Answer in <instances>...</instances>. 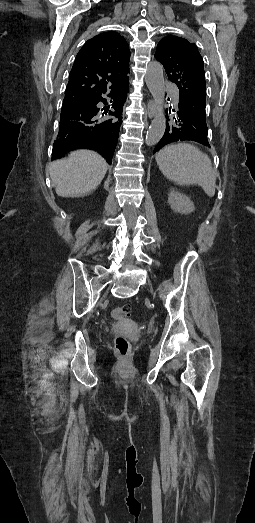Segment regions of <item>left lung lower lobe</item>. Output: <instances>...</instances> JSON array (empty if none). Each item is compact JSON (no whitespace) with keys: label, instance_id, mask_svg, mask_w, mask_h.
I'll list each match as a JSON object with an SVG mask.
<instances>
[{"label":"left lung lower lobe","instance_id":"left-lung-lower-lobe-1","mask_svg":"<svg viewBox=\"0 0 255 523\" xmlns=\"http://www.w3.org/2000/svg\"><path fill=\"white\" fill-rule=\"evenodd\" d=\"M187 110L180 109V106H175V109L170 111L169 118H166V126L164 135L156 140L153 148V153H159V149L171 146L178 143V140H188L195 145L205 146V149L210 150L212 145L207 140L209 134H206L208 126L202 121L194 120L195 115H186ZM195 140V141H192Z\"/></svg>","mask_w":255,"mask_h":523}]
</instances>
